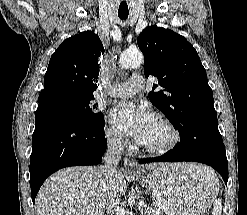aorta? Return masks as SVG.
Here are the masks:
<instances>
[{"mask_svg":"<svg viewBox=\"0 0 247 215\" xmlns=\"http://www.w3.org/2000/svg\"><path fill=\"white\" fill-rule=\"evenodd\" d=\"M143 63V55L140 52H124L119 58L122 68L139 67Z\"/></svg>","mask_w":247,"mask_h":215,"instance_id":"762f6f07","label":"aorta"}]
</instances>
